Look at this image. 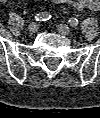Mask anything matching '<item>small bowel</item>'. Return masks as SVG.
Returning <instances> with one entry per match:
<instances>
[{"label": "small bowel", "mask_w": 100, "mask_h": 118, "mask_svg": "<svg viewBox=\"0 0 100 118\" xmlns=\"http://www.w3.org/2000/svg\"><path fill=\"white\" fill-rule=\"evenodd\" d=\"M8 0H0V2H7ZM55 4H68L73 6L77 10L89 9L92 11H98L100 9L99 0H49Z\"/></svg>", "instance_id": "c3829d8e"}]
</instances>
